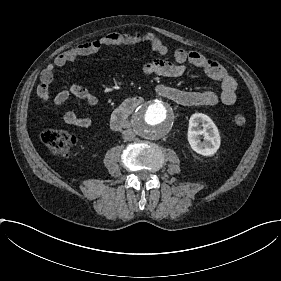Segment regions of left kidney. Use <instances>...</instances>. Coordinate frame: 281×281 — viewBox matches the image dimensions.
<instances>
[{"label":"left kidney","mask_w":281,"mask_h":281,"mask_svg":"<svg viewBox=\"0 0 281 281\" xmlns=\"http://www.w3.org/2000/svg\"><path fill=\"white\" fill-rule=\"evenodd\" d=\"M200 124L203 125V130L199 129ZM199 135L204 136V141L200 140ZM187 139L191 149L204 157L215 155L221 144L217 126L203 113H195L190 117Z\"/></svg>","instance_id":"obj_1"}]
</instances>
